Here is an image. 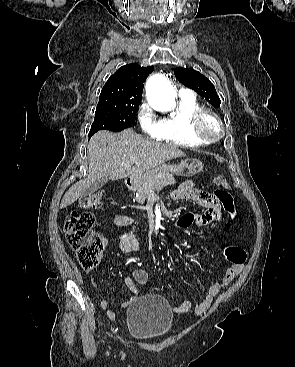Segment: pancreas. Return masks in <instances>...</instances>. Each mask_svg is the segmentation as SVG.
Listing matches in <instances>:
<instances>
[{"label": "pancreas", "mask_w": 295, "mask_h": 367, "mask_svg": "<svg viewBox=\"0 0 295 367\" xmlns=\"http://www.w3.org/2000/svg\"><path fill=\"white\" fill-rule=\"evenodd\" d=\"M175 178L169 173L161 174L156 176L150 182L140 186L138 188L136 201L144 203L146 198L154 191H160L164 186L174 185Z\"/></svg>", "instance_id": "1"}]
</instances>
